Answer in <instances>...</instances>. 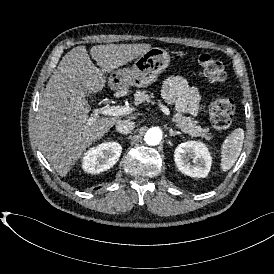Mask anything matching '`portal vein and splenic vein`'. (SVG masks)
Listing matches in <instances>:
<instances>
[{"label":"portal vein and splenic vein","mask_w":274,"mask_h":274,"mask_svg":"<svg viewBox=\"0 0 274 274\" xmlns=\"http://www.w3.org/2000/svg\"><path fill=\"white\" fill-rule=\"evenodd\" d=\"M157 104L162 108L163 113L166 116H170V110L167 108L160 100H157ZM130 108L115 106V105H107L98 108L92 109V116L90 117L87 125H91L92 122L96 121L101 115L104 116H120L128 113Z\"/></svg>","instance_id":"18ae733b"}]
</instances>
